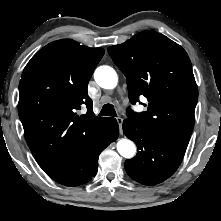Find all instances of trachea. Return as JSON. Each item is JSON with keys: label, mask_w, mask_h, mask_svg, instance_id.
Here are the masks:
<instances>
[{"label": "trachea", "mask_w": 221, "mask_h": 221, "mask_svg": "<svg viewBox=\"0 0 221 221\" xmlns=\"http://www.w3.org/2000/svg\"><path fill=\"white\" fill-rule=\"evenodd\" d=\"M99 115L100 116H114V117L117 116L114 106L110 103H107L102 107Z\"/></svg>", "instance_id": "obj_1"}]
</instances>
